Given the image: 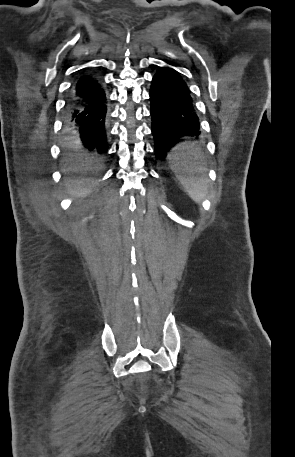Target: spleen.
I'll list each match as a JSON object with an SVG mask.
<instances>
[{"mask_svg":"<svg viewBox=\"0 0 295 457\" xmlns=\"http://www.w3.org/2000/svg\"><path fill=\"white\" fill-rule=\"evenodd\" d=\"M169 159L172 160V169L177 173L189 196L200 203L207 194L208 182L191 172L200 170L202 154L195 149L194 143L186 142L175 149L169 155Z\"/></svg>","mask_w":295,"mask_h":457,"instance_id":"obj_1","label":"spleen"}]
</instances>
